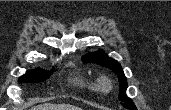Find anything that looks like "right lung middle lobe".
I'll return each instance as SVG.
<instances>
[{"label":"right lung middle lobe","instance_id":"dd1d6c3e","mask_svg":"<svg viewBox=\"0 0 171 110\" xmlns=\"http://www.w3.org/2000/svg\"><path fill=\"white\" fill-rule=\"evenodd\" d=\"M51 73L52 71L47 72L42 69L33 70L28 74L21 76L19 78V82H33V83L42 82L48 79Z\"/></svg>","mask_w":171,"mask_h":110}]
</instances>
